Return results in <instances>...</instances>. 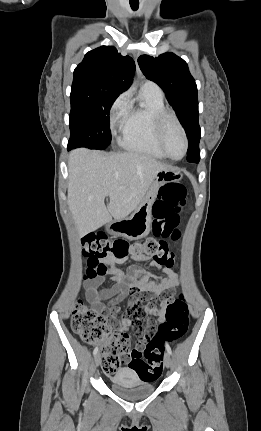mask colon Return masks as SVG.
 <instances>
[{
	"instance_id": "colon-1",
	"label": "colon",
	"mask_w": 261,
	"mask_h": 431,
	"mask_svg": "<svg viewBox=\"0 0 261 431\" xmlns=\"http://www.w3.org/2000/svg\"><path fill=\"white\" fill-rule=\"evenodd\" d=\"M186 203V189L178 183L169 182L159 189L153 205L152 232L155 238L130 243L126 239H109L104 234H88L82 240L83 256L92 275H102L109 259L122 263L128 259L150 257L162 265H173L174 258L164 239L178 240L180 232L179 212ZM161 302L166 304L165 319L159 322L155 334L143 352L131 348L127 333L114 328L108 320L78 300L73 308L71 325L75 333L90 345L101 344L102 367L107 373L115 372L126 358L125 367L133 369L140 383H158L162 379L163 340L175 342L182 338L188 328L189 310L182 295L175 297L168 289L162 293ZM142 315H138L141 317Z\"/></svg>"
}]
</instances>
